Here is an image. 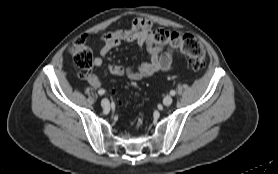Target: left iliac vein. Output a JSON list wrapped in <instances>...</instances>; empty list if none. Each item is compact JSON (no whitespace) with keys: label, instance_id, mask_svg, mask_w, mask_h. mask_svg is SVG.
I'll list each match as a JSON object with an SVG mask.
<instances>
[{"label":"left iliac vein","instance_id":"obj_1","mask_svg":"<svg viewBox=\"0 0 278 174\" xmlns=\"http://www.w3.org/2000/svg\"><path fill=\"white\" fill-rule=\"evenodd\" d=\"M172 101H173L172 97H171L170 95H167V96H165L164 99H163V104H164L165 106H170L171 103H172Z\"/></svg>","mask_w":278,"mask_h":174}]
</instances>
